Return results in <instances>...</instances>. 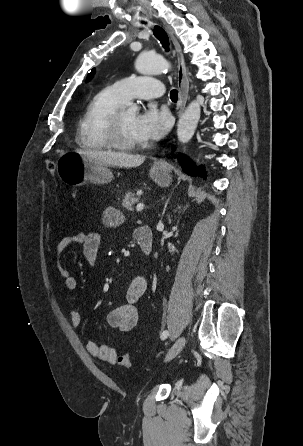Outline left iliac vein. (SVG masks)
<instances>
[{"instance_id":"obj_1","label":"left iliac vein","mask_w":303,"mask_h":446,"mask_svg":"<svg viewBox=\"0 0 303 446\" xmlns=\"http://www.w3.org/2000/svg\"><path fill=\"white\" fill-rule=\"evenodd\" d=\"M185 344H186L185 337L182 336L178 338L177 341L174 343V345L170 348V350L166 354L165 362H168L172 360L174 357H176L183 350Z\"/></svg>"}]
</instances>
